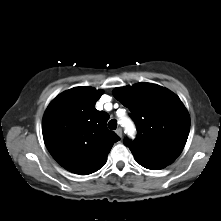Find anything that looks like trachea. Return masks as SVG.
I'll use <instances>...</instances> for the list:
<instances>
[{
	"instance_id": "1",
	"label": "trachea",
	"mask_w": 221,
	"mask_h": 221,
	"mask_svg": "<svg viewBox=\"0 0 221 221\" xmlns=\"http://www.w3.org/2000/svg\"><path fill=\"white\" fill-rule=\"evenodd\" d=\"M108 127L111 130H115L117 128V121L115 119H112L108 122Z\"/></svg>"
}]
</instances>
